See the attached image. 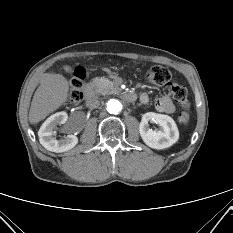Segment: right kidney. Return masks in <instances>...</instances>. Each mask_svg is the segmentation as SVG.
<instances>
[{"label":"right kidney","mask_w":233,"mask_h":233,"mask_svg":"<svg viewBox=\"0 0 233 233\" xmlns=\"http://www.w3.org/2000/svg\"><path fill=\"white\" fill-rule=\"evenodd\" d=\"M68 119L66 112H57L51 115L40 127L38 131L39 141L47 150L60 153L65 152L78 143L77 136L69 134L59 140L55 138L57 134V125L64 124Z\"/></svg>","instance_id":"right-kidney-1"}]
</instances>
